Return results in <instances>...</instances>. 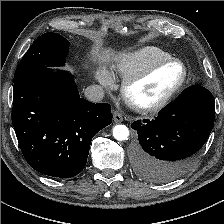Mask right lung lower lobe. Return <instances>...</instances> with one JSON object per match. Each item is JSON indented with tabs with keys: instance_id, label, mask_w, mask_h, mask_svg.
Instances as JSON below:
<instances>
[{
	"instance_id": "right-lung-lower-lobe-1",
	"label": "right lung lower lobe",
	"mask_w": 224,
	"mask_h": 224,
	"mask_svg": "<svg viewBox=\"0 0 224 224\" xmlns=\"http://www.w3.org/2000/svg\"><path fill=\"white\" fill-rule=\"evenodd\" d=\"M111 122V106L80 98L68 72L38 69L14 86L12 123L21 151L44 175L79 174L93 136Z\"/></svg>"
}]
</instances>
